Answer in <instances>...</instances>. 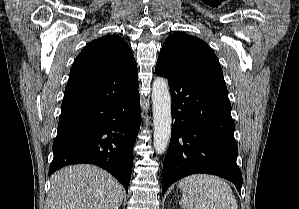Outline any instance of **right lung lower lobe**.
Instances as JSON below:
<instances>
[{
	"label": "right lung lower lobe",
	"instance_id": "1",
	"mask_svg": "<svg viewBox=\"0 0 299 209\" xmlns=\"http://www.w3.org/2000/svg\"><path fill=\"white\" fill-rule=\"evenodd\" d=\"M140 122L138 78L99 74L69 79L49 176L67 165L90 163L128 191Z\"/></svg>",
	"mask_w": 299,
	"mask_h": 209
}]
</instances>
